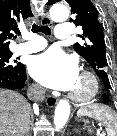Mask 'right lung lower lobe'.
Listing matches in <instances>:
<instances>
[{
	"label": "right lung lower lobe",
	"instance_id": "obj_1",
	"mask_svg": "<svg viewBox=\"0 0 117 136\" xmlns=\"http://www.w3.org/2000/svg\"><path fill=\"white\" fill-rule=\"evenodd\" d=\"M26 78L23 64L15 70H0V88L20 89L24 87Z\"/></svg>",
	"mask_w": 117,
	"mask_h": 136
}]
</instances>
